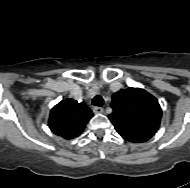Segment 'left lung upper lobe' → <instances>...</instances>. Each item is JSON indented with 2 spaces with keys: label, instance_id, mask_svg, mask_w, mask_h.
<instances>
[{
  "label": "left lung upper lobe",
  "instance_id": "5c2ea615",
  "mask_svg": "<svg viewBox=\"0 0 190 188\" xmlns=\"http://www.w3.org/2000/svg\"><path fill=\"white\" fill-rule=\"evenodd\" d=\"M113 112L108 118L115 129L153 136L159 126L162 110L158 100L140 88H128L112 97Z\"/></svg>",
  "mask_w": 190,
  "mask_h": 188
}]
</instances>
